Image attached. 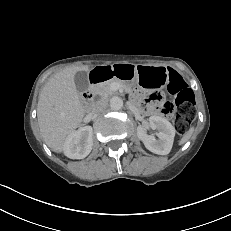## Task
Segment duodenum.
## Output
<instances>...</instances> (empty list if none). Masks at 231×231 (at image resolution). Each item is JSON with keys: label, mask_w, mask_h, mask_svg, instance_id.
I'll return each instance as SVG.
<instances>
[{"label": "duodenum", "mask_w": 231, "mask_h": 231, "mask_svg": "<svg viewBox=\"0 0 231 231\" xmlns=\"http://www.w3.org/2000/svg\"><path fill=\"white\" fill-rule=\"evenodd\" d=\"M94 73H100V72H94ZM90 80H91L92 86H95L97 80L94 79V77L92 76V73H91V75H90ZM92 96H93L92 91H87V92H85V93L83 94V99H84V101H89V100L92 98Z\"/></svg>", "instance_id": "410a0bca"}]
</instances>
